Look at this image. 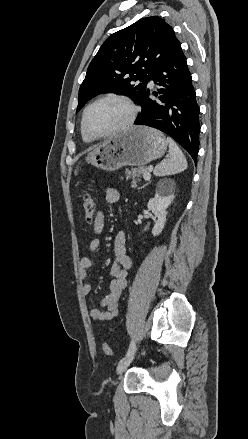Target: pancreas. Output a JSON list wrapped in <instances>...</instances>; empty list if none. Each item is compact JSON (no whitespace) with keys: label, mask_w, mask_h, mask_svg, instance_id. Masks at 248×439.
<instances>
[{"label":"pancreas","mask_w":248,"mask_h":439,"mask_svg":"<svg viewBox=\"0 0 248 439\" xmlns=\"http://www.w3.org/2000/svg\"><path fill=\"white\" fill-rule=\"evenodd\" d=\"M146 172V169L144 167L135 168L132 170L126 171V178L132 179V187H136L137 183L140 181L141 174H144Z\"/></svg>","instance_id":"obj_1"}]
</instances>
